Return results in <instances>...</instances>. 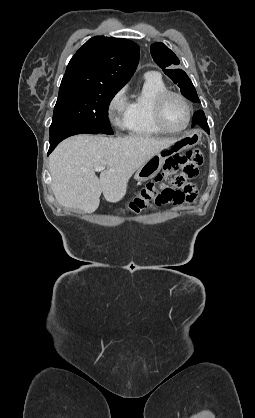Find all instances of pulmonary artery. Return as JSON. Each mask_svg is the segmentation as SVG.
<instances>
[{
  "mask_svg": "<svg viewBox=\"0 0 255 418\" xmlns=\"http://www.w3.org/2000/svg\"><path fill=\"white\" fill-rule=\"evenodd\" d=\"M145 76H146V77H156V76H159V74H158L157 72L150 71V72H147V73L145 74Z\"/></svg>",
  "mask_w": 255,
  "mask_h": 418,
  "instance_id": "1",
  "label": "pulmonary artery"
}]
</instances>
